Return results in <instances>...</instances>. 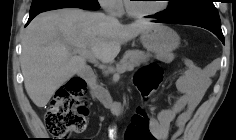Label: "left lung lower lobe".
<instances>
[{
  "mask_svg": "<svg viewBox=\"0 0 236 140\" xmlns=\"http://www.w3.org/2000/svg\"><path fill=\"white\" fill-rule=\"evenodd\" d=\"M155 22L158 23H171V24H187V25H195L202 28H205L211 32H213L224 44V36L221 30V25H215L211 23H205V22H198V21H180V20H169L163 15L158 16L157 20Z\"/></svg>",
  "mask_w": 236,
  "mask_h": 140,
  "instance_id": "obj_1",
  "label": "left lung lower lobe"
}]
</instances>
